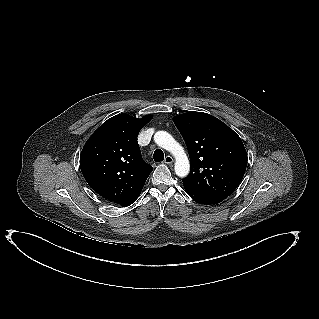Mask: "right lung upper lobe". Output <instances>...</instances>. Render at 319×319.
<instances>
[{
    "mask_svg": "<svg viewBox=\"0 0 319 319\" xmlns=\"http://www.w3.org/2000/svg\"><path fill=\"white\" fill-rule=\"evenodd\" d=\"M151 118L116 115L85 143L80 168L89 186L103 198L124 205L141 193L153 168L142 159L137 136Z\"/></svg>",
    "mask_w": 319,
    "mask_h": 319,
    "instance_id": "right-lung-upper-lobe-1",
    "label": "right lung upper lobe"
}]
</instances>
